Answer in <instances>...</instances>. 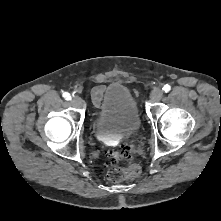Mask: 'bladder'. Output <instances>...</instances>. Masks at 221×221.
<instances>
[{
	"label": "bladder",
	"instance_id": "31cf9c89",
	"mask_svg": "<svg viewBox=\"0 0 221 221\" xmlns=\"http://www.w3.org/2000/svg\"><path fill=\"white\" fill-rule=\"evenodd\" d=\"M141 127V117L135 97L125 85L114 82L107 86L93 123L99 140L132 134Z\"/></svg>",
	"mask_w": 221,
	"mask_h": 221
}]
</instances>
